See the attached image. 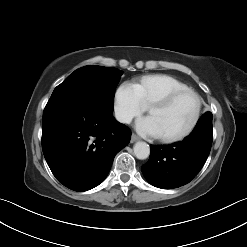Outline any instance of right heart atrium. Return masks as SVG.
<instances>
[{
	"mask_svg": "<svg viewBox=\"0 0 247 247\" xmlns=\"http://www.w3.org/2000/svg\"><path fill=\"white\" fill-rule=\"evenodd\" d=\"M145 110L138 89L129 82L122 83L114 95V112L122 123H129Z\"/></svg>",
	"mask_w": 247,
	"mask_h": 247,
	"instance_id": "right-heart-atrium-1",
	"label": "right heart atrium"
}]
</instances>
